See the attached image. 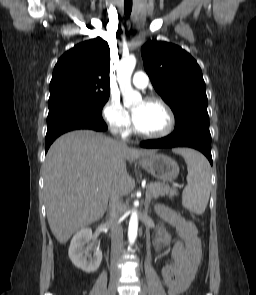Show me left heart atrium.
Instances as JSON below:
<instances>
[{"label": "left heart atrium", "mask_w": 256, "mask_h": 295, "mask_svg": "<svg viewBox=\"0 0 256 295\" xmlns=\"http://www.w3.org/2000/svg\"><path fill=\"white\" fill-rule=\"evenodd\" d=\"M139 113H140V110L137 109V110H134L133 113H132V117H133V121L135 122L139 116Z\"/></svg>", "instance_id": "obj_1"}]
</instances>
